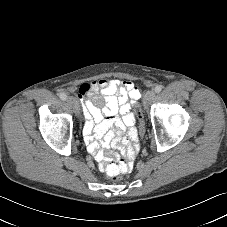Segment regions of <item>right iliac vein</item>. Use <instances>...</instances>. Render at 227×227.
<instances>
[{"instance_id":"right-iliac-vein-1","label":"right iliac vein","mask_w":227,"mask_h":227,"mask_svg":"<svg viewBox=\"0 0 227 227\" xmlns=\"http://www.w3.org/2000/svg\"><path fill=\"white\" fill-rule=\"evenodd\" d=\"M67 103L73 109L76 116L79 117L80 116V106H79V102L77 101V99L73 96H70L67 98Z\"/></svg>"}]
</instances>
